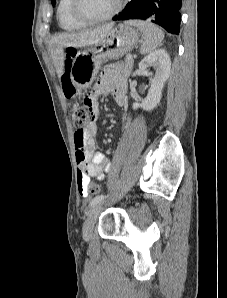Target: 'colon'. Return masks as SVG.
I'll list each match as a JSON object with an SVG mask.
<instances>
[{
  "label": "colon",
  "mask_w": 227,
  "mask_h": 298,
  "mask_svg": "<svg viewBox=\"0 0 227 298\" xmlns=\"http://www.w3.org/2000/svg\"><path fill=\"white\" fill-rule=\"evenodd\" d=\"M67 61L66 66L70 65V58L74 56V50L69 48L67 50ZM63 82V89L65 94L68 97H72L75 95L76 89L70 79L68 74H65L62 79ZM85 104H93V103H77L74 104L72 108V122L74 127L76 128L75 132V148H76V155L78 159L84 160L85 158V139H84V131L90 125V117H95V115H88L87 109L84 108ZM77 178H86V173H77ZM79 189L82 192L87 194H97L100 191L98 185L93 183H81L79 185Z\"/></svg>",
  "instance_id": "colon-1"
}]
</instances>
